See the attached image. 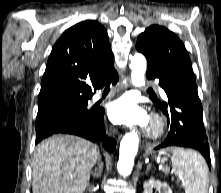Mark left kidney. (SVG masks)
<instances>
[{"label": "left kidney", "mask_w": 221, "mask_h": 193, "mask_svg": "<svg viewBox=\"0 0 221 193\" xmlns=\"http://www.w3.org/2000/svg\"><path fill=\"white\" fill-rule=\"evenodd\" d=\"M143 187V193H152L153 188H156L159 193H172L170 187L167 184L160 182L159 180L150 179L145 181Z\"/></svg>", "instance_id": "5707ae66"}]
</instances>
